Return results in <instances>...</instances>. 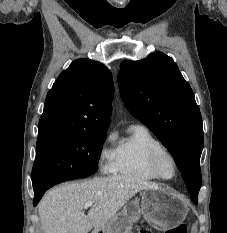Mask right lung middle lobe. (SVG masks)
Here are the masks:
<instances>
[{
    "label": "right lung middle lobe",
    "mask_w": 227,
    "mask_h": 233,
    "mask_svg": "<svg viewBox=\"0 0 227 233\" xmlns=\"http://www.w3.org/2000/svg\"><path fill=\"white\" fill-rule=\"evenodd\" d=\"M106 131L56 129L38 133L33 189L95 173Z\"/></svg>",
    "instance_id": "1"
}]
</instances>
